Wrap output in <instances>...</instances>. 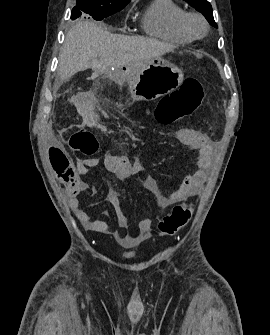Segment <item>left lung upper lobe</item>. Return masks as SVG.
I'll return each instance as SVG.
<instances>
[{"label":"left lung upper lobe","instance_id":"left-lung-upper-lobe-1","mask_svg":"<svg viewBox=\"0 0 270 335\" xmlns=\"http://www.w3.org/2000/svg\"><path fill=\"white\" fill-rule=\"evenodd\" d=\"M185 1L188 2L197 11L202 13L212 26L218 28L213 18L212 6L207 0H185Z\"/></svg>","mask_w":270,"mask_h":335}]
</instances>
